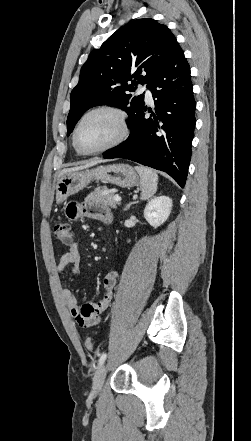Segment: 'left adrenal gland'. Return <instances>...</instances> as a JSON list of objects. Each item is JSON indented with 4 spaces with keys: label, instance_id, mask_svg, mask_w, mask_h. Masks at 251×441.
<instances>
[{
    "label": "left adrenal gland",
    "instance_id": "1",
    "mask_svg": "<svg viewBox=\"0 0 251 441\" xmlns=\"http://www.w3.org/2000/svg\"><path fill=\"white\" fill-rule=\"evenodd\" d=\"M136 202H131V203H129L127 206H126V208L124 209V211H127L129 208H130V206L132 205V204H135Z\"/></svg>",
    "mask_w": 251,
    "mask_h": 441
}]
</instances>
